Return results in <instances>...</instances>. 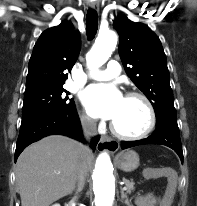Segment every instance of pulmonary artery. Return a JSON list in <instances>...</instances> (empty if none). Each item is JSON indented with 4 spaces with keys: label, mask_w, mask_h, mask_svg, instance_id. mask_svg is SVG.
Listing matches in <instances>:
<instances>
[{
    "label": "pulmonary artery",
    "mask_w": 197,
    "mask_h": 206,
    "mask_svg": "<svg viewBox=\"0 0 197 206\" xmlns=\"http://www.w3.org/2000/svg\"><path fill=\"white\" fill-rule=\"evenodd\" d=\"M120 71L121 66L119 62L116 60H110L106 69L90 73L89 77L96 80H108L118 75Z\"/></svg>",
    "instance_id": "1"
}]
</instances>
